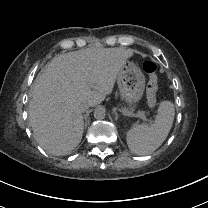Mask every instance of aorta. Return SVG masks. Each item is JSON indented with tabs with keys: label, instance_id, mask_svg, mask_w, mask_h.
<instances>
[{
	"label": "aorta",
	"instance_id": "obj_1",
	"mask_svg": "<svg viewBox=\"0 0 208 208\" xmlns=\"http://www.w3.org/2000/svg\"><path fill=\"white\" fill-rule=\"evenodd\" d=\"M94 118L96 119H104L105 118V109L102 107H98L94 111Z\"/></svg>",
	"mask_w": 208,
	"mask_h": 208
}]
</instances>
